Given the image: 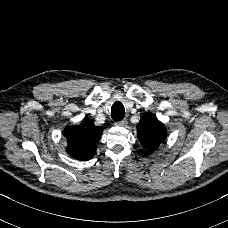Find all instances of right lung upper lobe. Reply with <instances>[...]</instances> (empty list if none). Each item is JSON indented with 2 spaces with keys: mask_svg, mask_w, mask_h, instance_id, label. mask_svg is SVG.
<instances>
[{
  "mask_svg": "<svg viewBox=\"0 0 228 228\" xmlns=\"http://www.w3.org/2000/svg\"><path fill=\"white\" fill-rule=\"evenodd\" d=\"M103 128L95 126L94 122L86 119L79 125L66 126L63 135L67 140L66 152L73 158L86 161L96 153Z\"/></svg>",
  "mask_w": 228,
  "mask_h": 228,
  "instance_id": "right-lung-upper-lobe-1",
  "label": "right lung upper lobe"
}]
</instances>
